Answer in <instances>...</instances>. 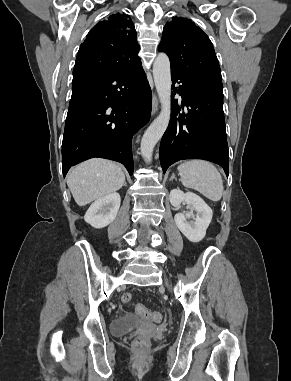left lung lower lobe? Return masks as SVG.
<instances>
[{
  "instance_id": "left-lung-lower-lobe-1",
  "label": "left lung lower lobe",
  "mask_w": 291,
  "mask_h": 381,
  "mask_svg": "<svg viewBox=\"0 0 291 381\" xmlns=\"http://www.w3.org/2000/svg\"><path fill=\"white\" fill-rule=\"evenodd\" d=\"M172 88L182 97V109L173 100L172 117L160 144V163L167 168L182 159H204L221 165L228 176L229 153L226 138L223 89L197 86L171 71Z\"/></svg>"
}]
</instances>
